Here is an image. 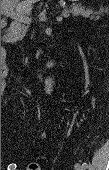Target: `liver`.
<instances>
[{"label":"liver","instance_id":"1","mask_svg":"<svg viewBox=\"0 0 109 170\" xmlns=\"http://www.w3.org/2000/svg\"><path fill=\"white\" fill-rule=\"evenodd\" d=\"M39 0H2L4 6L15 7L16 11L29 13L32 10V4Z\"/></svg>","mask_w":109,"mask_h":170}]
</instances>
